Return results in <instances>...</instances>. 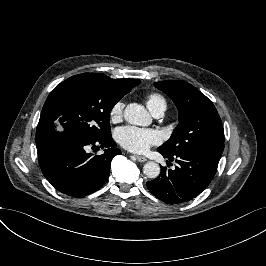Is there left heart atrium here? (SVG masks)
<instances>
[{"mask_svg": "<svg viewBox=\"0 0 266 266\" xmlns=\"http://www.w3.org/2000/svg\"><path fill=\"white\" fill-rule=\"evenodd\" d=\"M115 138L125 149L142 153L152 145L159 144L162 140V134L156 129L127 125L116 129Z\"/></svg>", "mask_w": 266, "mask_h": 266, "instance_id": "left-heart-atrium-1", "label": "left heart atrium"}]
</instances>
